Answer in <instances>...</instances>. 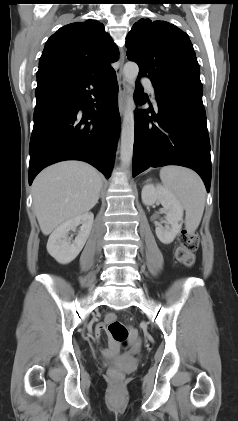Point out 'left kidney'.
<instances>
[{"label": "left kidney", "instance_id": "1", "mask_svg": "<svg viewBox=\"0 0 238 421\" xmlns=\"http://www.w3.org/2000/svg\"><path fill=\"white\" fill-rule=\"evenodd\" d=\"M142 202L150 206L160 202L166 211L165 227L159 224L155 231L158 239L163 244H170L181 231L183 223V208L176 197L162 185L147 184L143 187Z\"/></svg>", "mask_w": 238, "mask_h": 421}]
</instances>
